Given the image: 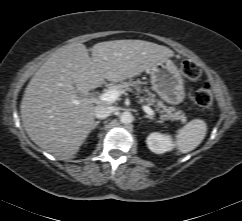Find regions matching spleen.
<instances>
[{
  "mask_svg": "<svg viewBox=\"0 0 242 221\" xmlns=\"http://www.w3.org/2000/svg\"><path fill=\"white\" fill-rule=\"evenodd\" d=\"M207 132V124L202 119H194L178 130L176 146L179 152L188 153L203 141Z\"/></svg>",
  "mask_w": 242,
  "mask_h": 221,
  "instance_id": "spleen-1",
  "label": "spleen"
}]
</instances>
